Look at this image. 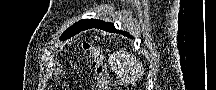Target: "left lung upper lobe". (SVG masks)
<instances>
[{
  "label": "left lung upper lobe",
  "instance_id": "obj_1",
  "mask_svg": "<svg viewBox=\"0 0 216 90\" xmlns=\"http://www.w3.org/2000/svg\"><path fill=\"white\" fill-rule=\"evenodd\" d=\"M100 20L95 19H84L81 20L75 24H73L71 27H69L61 36L60 40H66L67 38H70L74 36L75 34L79 33L82 30L87 29L91 25L97 23Z\"/></svg>",
  "mask_w": 216,
  "mask_h": 90
}]
</instances>
